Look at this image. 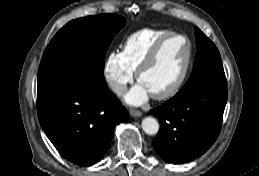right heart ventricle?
Returning a JSON list of instances; mask_svg holds the SVG:
<instances>
[{"label":"right heart ventricle","mask_w":259,"mask_h":176,"mask_svg":"<svg viewBox=\"0 0 259 176\" xmlns=\"http://www.w3.org/2000/svg\"><path fill=\"white\" fill-rule=\"evenodd\" d=\"M170 32L167 29L143 28L130 34L122 45V55L126 65L135 72L154 43Z\"/></svg>","instance_id":"e07e8e85"}]
</instances>
